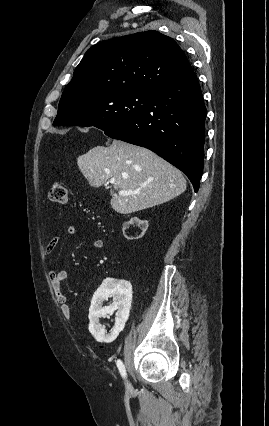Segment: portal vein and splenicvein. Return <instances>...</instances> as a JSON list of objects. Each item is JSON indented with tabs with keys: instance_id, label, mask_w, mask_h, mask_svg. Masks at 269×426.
I'll list each match as a JSON object with an SVG mask.
<instances>
[{
	"instance_id": "portal-vein-and-splenic-vein-1",
	"label": "portal vein and splenic vein",
	"mask_w": 269,
	"mask_h": 426,
	"mask_svg": "<svg viewBox=\"0 0 269 426\" xmlns=\"http://www.w3.org/2000/svg\"><path fill=\"white\" fill-rule=\"evenodd\" d=\"M109 182L111 183V184H115V179H110L109 180ZM137 192H131V191H126V190H121V191H119V195H122V196H129V195H131V194H136Z\"/></svg>"
}]
</instances>
